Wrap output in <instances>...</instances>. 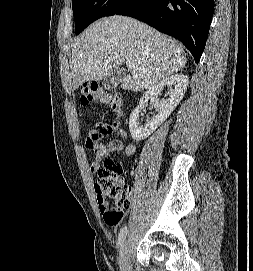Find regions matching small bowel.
Here are the masks:
<instances>
[{
    "label": "small bowel",
    "mask_w": 253,
    "mask_h": 271,
    "mask_svg": "<svg viewBox=\"0 0 253 271\" xmlns=\"http://www.w3.org/2000/svg\"><path fill=\"white\" fill-rule=\"evenodd\" d=\"M113 133L117 134L116 138L107 143L102 141L104 137ZM128 140H130V135L119 121L111 124L105 122L96 123L85 139L86 147L93 152L90 171L96 173L100 168L102 158L109 154L124 152L126 156H133L136 152V145L133 142L125 144V141Z\"/></svg>",
    "instance_id": "obj_1"
}]
</instances>
